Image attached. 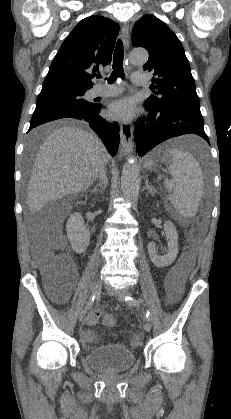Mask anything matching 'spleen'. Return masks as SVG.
Returning <instances> with one entry per match:
<instances>
[{
  "label": "spleen",
  "instance_id": "1",
  "mask_svg": "<svg viewBox=\"0 0 231 419\" xmlns=\"http://www.w3.org/2000/svg\"><path fill=\"white\" fill-rule=\"evenodd\" d=\"M169 153L172 156L169 166V172L172 175L169 188L172 193L169 200L182 217L191 218L198 210L203 193L202 170L190 152L172 148Z\"/></svg>",
  "mask_w": 231,
  "mask_h": 419
}]
</instances>
